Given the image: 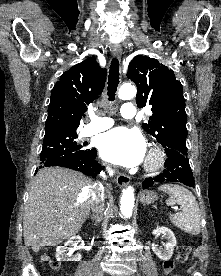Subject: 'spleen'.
<instances>
[{
  "label": "spleen",
  "instance_id": "spleen-1",
  "mask_svg": "<svg viewBox=\"0 0 221 276\" xmlns=\"http://www.w3.org/2000/svg\"><path fill=\"white\" fill-rule=\"evenodd\" d=\"M158 189L168 193L181 206V212L170 213L171 223L190 235H198L201 231V214L193 193L176 184H164Z\"/></svg>",
  "mask_w": 221,
  "mask_h": 276
}]
</instances>
